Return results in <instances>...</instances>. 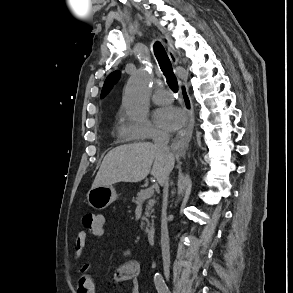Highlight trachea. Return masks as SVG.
Listing matches in <instances>:
<instances>
[{
    "instance_id": "obj_1",
    "label": "trachea",
    "mask_w": 293,
    "mask_h": 293,
    "mask_svg": "<svg viewBox=\"0 0 293 293\" xmlns=\"http://www.w3.org/2000/svg\"><path fill=\"white\" fill-rule=\"evenodd\" d=\"M154 54L159 63V66L166 77L167 83L173 92L178 90L177 78L173 72L171 61L160 42L154 44Z\"/></svg>"
}]
</instances>
